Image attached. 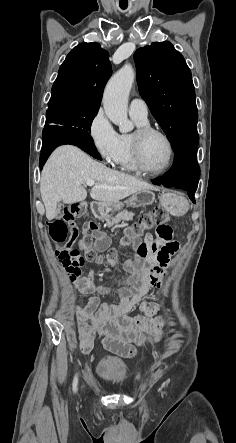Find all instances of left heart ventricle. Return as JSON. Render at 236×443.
Returning <instances> with one entry per match:
<instances>
[{"label": "left heart ventricle", "mask_w": 236, "mask_h": 443, "mask_svg": "<svg viewBox=\"0 0 236 443\" xmlns=\"http://www.w3.org/2000/svg\"><path fill=\"white\" fill-rule=\"evenodd\" d=\"M142 158L149 169L163 168L169 159V148L166 141L158 134L146 137L142 145Z\"/></svg>", "instance_id": "b2bd125f"}]
</instances>
